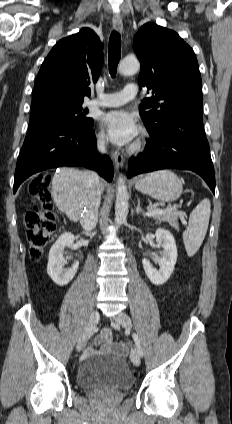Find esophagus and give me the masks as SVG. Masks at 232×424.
<instances>
[{
	"label": "esophagus",
	"instance_id": "1",
	"mask_svg": "<svg viewBox=\"0 0 232 424\" xmlns=\"http://www.w3.org/2000/svg\"><path fill=\"white\" fill-rule=\"evenodd\" d=\"M112 23H113V27L117 31H119V32H122L123 31V22H122V18L120 16V14L115 13L113 15ZM112 156H113V159H114V162H115L116 169L117 170H121L123 168V165H124V158H123V156L120 153H118V152H114L112 154Z\"/></svg>",
	"mask_w": 232,
	"mask_h": 424
}]
</instances>
